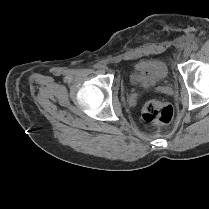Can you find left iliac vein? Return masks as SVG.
I'll return each mask as SVG.
<instances>
[{"label": "left iliac vein", "instance_id": "4c4485c4", "mask_svg": "<svg viewBox=\"0 0 209 209\" xmlns=\"http://www.w3.org/2000/svg\"><path fill=\"white\" fill-rule=\"evenodd\" d=\"M190 54H191V50L190 49H186L184 51V58H188L190 56Z\"/></svg>", "mask_w": 209, "mask_h": 209}]
</instances>
